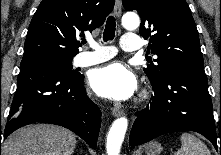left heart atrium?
Segmentation results:
<instances>
[{
  "label": "left heart atrium",
  "instance_id": "obj_1",
  "mask_svg": "<svg viewBox=\"0 0 221 155\" xmlns=\"http://www.w3.org/2000/svg\"><path fill=\"white\" fill-rule=\"evenodd\" d=\"M90 85L98 95L114 100L130 98L136 88L135 75L121 63H112L95 69Z\"/></svg>",
  "mask_w": 221,
  "mask_h": 155
}]
</instances>
